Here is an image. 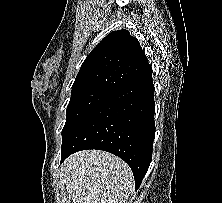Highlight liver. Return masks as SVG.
<instances>
[{
  "label": "liver",
  "instance_id": "1",
  "mask_svg": "<svg viewBox=\"0 0 222 203\" xmlns=\"http://www.w3.org/2000/svg\"><path fill=\"white\" fill-rule=\"evenodd\" d=\"M67 192L73 203H132L134 177L120 158L99 150H85L63 163Z\"/></svg>",
  "mask_w": 222,
  "mask_h": 203
}]
</instances>
